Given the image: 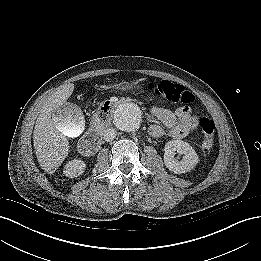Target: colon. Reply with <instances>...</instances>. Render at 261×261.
Listing matches in <instances>:
<instances>
[{"label":"colon","instance_id":"1","mask_svg":"<svg viewBox=\"0 0 261 261\" xmlns=\"http://www.w3.org/2000/svg\"><path fill=\"white\" fill-rule=\"evenodd\" d=\"M149 86L158 98L168 102L191 104L195 99L194 95L186 90L182 85L167 80L152 82ZM109 110V103H104L99 107V113L104 114ZM199 125L203 132L201 147L203 151L207 152L212 148L214 143L215 123L208 117H202L199 120Z\"/></svg>","mask_w":261,"mask_h":261}]
</instances>
